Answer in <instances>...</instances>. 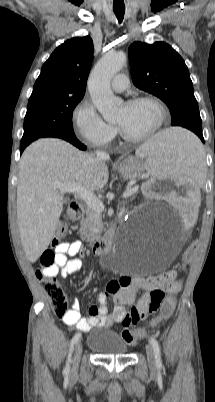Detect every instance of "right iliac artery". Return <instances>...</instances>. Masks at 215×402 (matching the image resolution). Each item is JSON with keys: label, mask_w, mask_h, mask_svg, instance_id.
Here are the masks:
<instances>
[{"label": "right iliac artery", "mask_w": 215, "mask_h": 402, "mask_svg": "<svg viewBox=\"0 0 215 402\" xmlns=\"http://www.w3.org/2000/svg\"><path fill=\"white\" fill-rule=\"evenodd\" d=\"M80 337H81V334H80V333H77V334L74 335V337H73L72 340H71L70 349H69V354H68V358H67V362H66V366H65L64 371H63V373H64L65 376H68V374H69V371H70V362H71V354H72V351H73V349H74L75 344H76L77 341L80 339Z\"/></svg>", "instance_id": "obj_1"}]
</instances>
